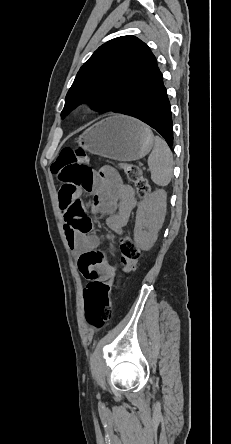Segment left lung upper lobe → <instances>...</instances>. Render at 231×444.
Segmentation results:
<instances>
[{
  "label": "left lung upper lobe",
  "instance_id": "left-lung-upper-lobe-1",
  "mask_svg": "<svg viewBox=\"0 0 231 444\" xmlns=\"http://www.w3.org/2000/svg\"><path fill=\"white\" fill-rule=\"evenodd\" d=\"M155 62L149 47L135 36L106 42L78 71L61 116L81 103H89L102 113L119 112Z\"/></svg>",
  "mask_w": 231,
  "mask_h": 444
}]
</instances>
